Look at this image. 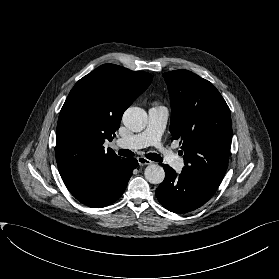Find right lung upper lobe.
Wrapping results in <instances>:
<instances>
[{
  "mask_svg": "<svg viewBox=\"0 0 279 279\" xmlns=\"http://www.w3.org/2000/svg\"><path fill=\"white\" fill-rule=\"evenodd\" d=\"M149 73L104 64L80 79L70 91L56 130V161L61 178L72 192L114 169L123 158L105 153L124 111L150 85Z\"/></svg>",
  "mask_w": 279,
  "mask_h": 279,
  "instance_id": "1",
  "label": "right lung upper lobe"
}]
</instances>
